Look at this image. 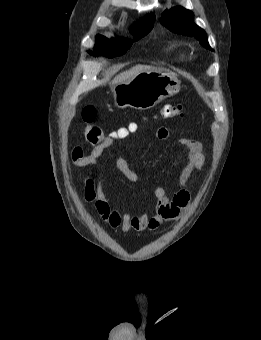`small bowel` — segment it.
Segmentation results:
<instances>
[{"label":"small bowel","mask_w":261,"mask_h":340,"mask_svg":"<svg viewBox=\"0 0 261 340\" xmlns=\"http://www.w3.org/2000/svg\"><path fill=\"white\" fill-rule=\"evenodd\" d=\"M136 129L137 125L131 123L127 127L108 134L100 144L95 145L87 154L83 152L82 148L74 147L71 152L72 163L81 168H96L103 152L113 145L116 139L126 138L134 133ZM156 136L161 140L167 139L169 136L168 129L159 127L156 131ZM179 143L187 153V161L177 180L179 189L172 197H169L163 187H156L154 189L156 206L152 215H131L128 212H121L113 208L108 202L103 179L94 173L85 180L84 201L93 207L106 224L111 228H119L123 233L144 230L154 231L167 222L177 220L189 208L191 198L190 191L181 187L190 180L194 172H200L205 163V155L200 142L181 138ZM116 166L129 181L133 183L139 181V176L129 167L124 158L118 157Z\"/></svg>","instance_id":"obj_1"}]
</instances>
